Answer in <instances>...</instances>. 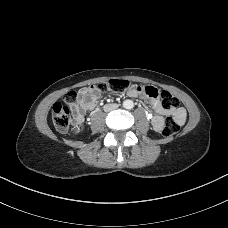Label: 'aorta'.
Returning a JSON list of instances; mask_svg holds the SVG:
<instances>
[{
	"instance_id": "1",
	"label": "aorta",
	"mask_w": 228,
	"mask_h": 228,
	"mask_svg": "<svg viewBox=\"0 0 228 228\" xmlns=\"http://www.w3.org/2000/svg\"><path fill=\"white\" fill-rule=\"evenodd\" d=\"M123 106H124V108H126V109H132V108L134 107V103H133L132 100H125V101L123 102Z\"/></svg>"
}]
</instances>
